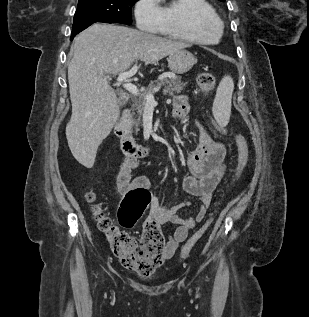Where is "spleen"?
Returning a JSON list of instances; mask_svg holds the SVG:
<instances>
[{
  "mask_svg": "<svg viewBox=\"0 0 309 317\" xmlns=\"http://www.w3.org/2000/svg\"><path fill=\"white\" fill-rule=\"evenodd\" d=\"M233 90L232 77L225 75L218 85L213 103V115L220 126H226L229 122Z\"/></svg>",
  "mask_w": 309,
  "mask_h": 317,
  "instance_id": "obj_1",
  "label": "spleen"
}]
</instances>
